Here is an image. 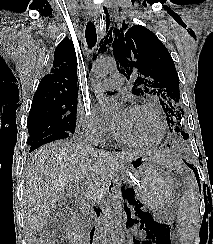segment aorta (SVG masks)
Here are the masks:
<instances>
[{"label": "aorta", "instance_id": "1", "mask_svg": "<svg viewBox=\"0 0 213 244\" xmlns=\"http://www.w3.org/2000/svg\"><path fill=\"white\" fill-rule=\"evenodd\" d=\"M116 69L117 65L115 59H99L92 66L91 79L93 81H100ZM96 98L101 112L105 115L113 114L114 111L117 110V103L105 97L103 94L97 93ZM105 214L111 243L123 244V199L121 189L119 187H115L111 190L106 202Z\"/></svg>", "mask_w": 213, "mask_h": 244}]
</instances>
